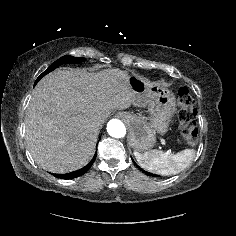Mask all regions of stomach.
Wrapping results in <instances>:
<instances>
[{
    "label": "stomach",
    "instance_id": "1",
    "mask_svg": "<svg viewBox=\"0 0 236 236\" xmlns=\"http://www.w3.org/2000/svg\"><path fill=\"white\" fill-rule=\"evenodd\" d=\"M128 85L135 93L134 105L148 107L150 117L145 119L133 112L122 115L129 127V142L136 151L151 149L156 143V134L164 135L176 111L173 93L156 83L139 76H128Z\"/></svg>",
    "mask_w": 236,
    "mask_h": 236
}]
</instances>
